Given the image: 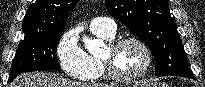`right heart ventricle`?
<instances>
[{"instance_id": "right-heart-ventricle-1", "label": "right heart ventricle", "mask_w": 205, "mask_h": 87, "mask_svg": "<svg viewBox=\"0 0 205 87\" xmlns=\"http://www.w3.org/2000/svg\"><path fill=\"white\" fill-rule=\"evenodd\" d=\"M93 33L106 41H112L115 38V34L110 35L99 32ZM88 60L90 65V71L80 79L85 82H95L104 80L106 78V74L99 57L94 55H88Z\"/></svg>"}]
</instances>
